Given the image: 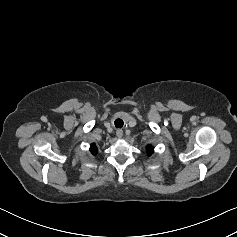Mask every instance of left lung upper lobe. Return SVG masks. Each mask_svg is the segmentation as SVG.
Segmentation results:
<instances>
[{"label": "left lung upper lobe", "mask_w": 237, "mask_h": 237, "mask_svg": "<svg viewBox=\"0 0 237 237\" xmlns=\"http://www.w3.org/2000/svg\"><path fill=\"white\" fill-rule=\"evenodd\" d=\"M146 149H147L148 155H151L153 153L154 148L151 145H148Z\"/></svg>", "instance_id": "5c2ea615"}]
</instances>
